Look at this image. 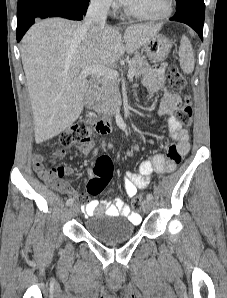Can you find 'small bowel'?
Wrapping results in <instances>:
<instances>
[{"label":"small bowel","instance_id":"obj_1","mask_svg":"<svg viewBox=\"0 0 227 298\" xmlns=\"http://www.w3.org/2000/svg\"><path fill=\"white\" fill-rule=\"evenodd\" d=\"M164 68H172V63H156L154 69L145 77L144 85L150 94L162 89ZM181 106L182 101L178 94L167 90L163 91L158 114L166 117L168 133L170 138L175 141V144L169 147L166 155L157 153L142 161L138 172H126L123 183L126 193L130 197L134 196L137 190L145 189L149 185L153 173L161 174L172 171L175 167H180L181 159L189 152V133L174 115L181 109ZM94 146L93 141H88L81 144L78 149L82 155L87 156L92 152ZM65 155V150L55 152V156L59 158ZM32 162L34 169L43 180L81 203L82 211L86 216L93 217L104 213L108 216L125 217L132 222L140 221L139 214L131 211L129 206L120 198H116L112 203L107 200H90L86 202L83 194L78 193L67 181L62 180L64 176H70L74 173L72 166L67 165L48 169L44 164V156L39 153L32 154ZM87 173L92 176L91 169H87Z\"/></svg>","mask_w":227,"mask_h":298}]
</instances>
